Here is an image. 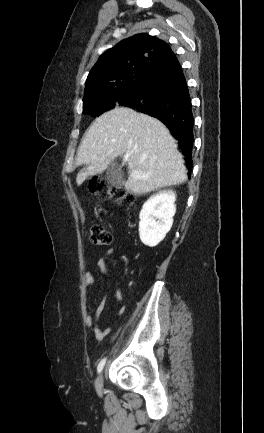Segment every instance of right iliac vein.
Instances as JSON below:
<instances>
[{"label": "right iliac vein", "mask_w": 264, "mask_h": 433, "mask_svg": "<svg viewBox=\"0 0 264 433\" xmlns=\"http://www.w3.org/2000/svg\"><path fill=\"white\" fill-rule=\"evenodd\" d=\"M103 383H104L103 375L100 374L95 381V389L99 395L102 394L103 392Z\"/></svg>", "instance_id": "63e3f726"}]
</instances>
